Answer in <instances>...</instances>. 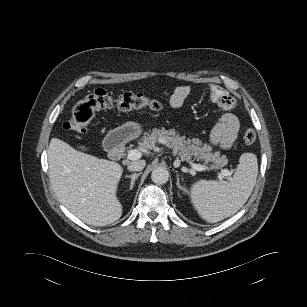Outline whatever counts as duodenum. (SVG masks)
Wrapping results in <instances>:
<instances>
[{
    "instance_id": "duodenum-1",
    "label": "duodenum",
    "mask_w": 307,
    "mask_h": 307,
    "mask_svg": "<svg viewBox=\"0 0 307 307\" xmlns=\"http://www.w3.org/2000/svg\"><path fill=\"white\" fill-rule=\"evenodd\" d=\"M106 147L108 149L109 157L112 160L121 159L125 151L123 135L117 133L110 136L106 141Z\"/></svg>"
}]
</instances>
